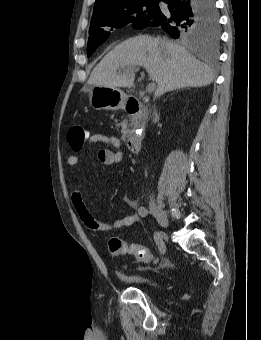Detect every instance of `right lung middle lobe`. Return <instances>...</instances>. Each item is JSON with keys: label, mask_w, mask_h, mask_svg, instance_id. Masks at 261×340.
Wrapping results in <instances>:
<instances>
[{"label": "right lung middle lobe", "mask_w": 261, "mask_h": 340, "mask_svg": "<svg viewBox=\"0 0 261 340\" xmlns=\"http://www.w3.org/2000/svg\"><path fill=\"white\" fill-rule=\"evenodd\" d=\"M160 0H144L119 8L115 12L95 21H91L88 39V57L110 35L114 28L132 23L137 29L148 27L161 10ZM109 28V30H107ZM177 38L181 40H201L219 38L218 15L199 16L192 14L179 23Z\"/></svg>", "instance_id": "right-lung-middle-lobe-1"}]
</instances>
